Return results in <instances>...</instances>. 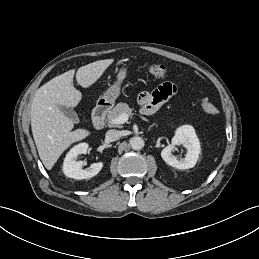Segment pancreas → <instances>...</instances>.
<instances>
[{"mask_svg": "<svg viewBox=\"0 0 259 259\" xmlns=\"http://www.w3.org/2000/svg\"><path fill=\"white\" fill-rule=\"evenodd\" d=\"M131 114L132 109L126 103H118L108 114L107 119L111 126H119V124H111V121L117 118L120 114Z\"/></svg>", "mask_w": 259, "mask_h": 259, "instance_id": "pancreas-1", "label": "pancreas"}]
</instances>
